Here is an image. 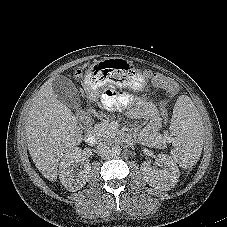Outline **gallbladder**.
Returning <instances> with one entry per match:
<instances>
[{
  "label": "gallbladder",
  "instance_id": "bac80fb5",
  "mask_svg": "<svg viewBox=\"0 0 227 227\" xmlns=\"http://www.w3.org/2000/svg\"><path fill=\"white\" fill-rule=\"evenodd\" d=\"M52 89L58 100L67 107L77 109L80 107L79 92L74 83L67 77L59 75L52 82Z\"/></svg>",
  "mask_w": 227,
  "mask_h": 227
}]
</instances>
